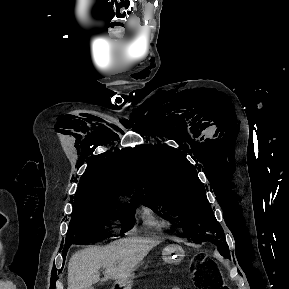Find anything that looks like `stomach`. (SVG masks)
<instances>
[{"instance_id":"0dacf381","label":"stomach","mask_w":289,"mask_h":289,"mask_svg":"<svg viewBox=\"0 0 289 289\" xmlns=\"http://www.w3.org/2000/svg\"><path fill=\"white\" fill-rule=\"evenodd\" d=\"M185 256L183 248L179 245L172 244L165 247L162 251V259L166 263L176 264L182 261ZM133 274L117 279L112 289H131L133 284Z\"/></svg>"}]
</instances>
